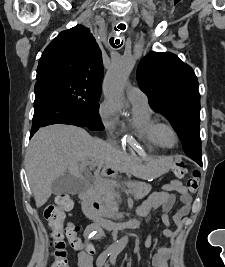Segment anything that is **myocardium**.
Listing matches in <instances>:
<instances>
[{"label":"myocardium","mask_w":225,"mask_h":267,"mask_svg":"<svg viewBox=\"0 0 225 267\" xmlns=\"http://www.w3.org/2000/svg\"><path fill=\"white\" fill-rule=\"evenodd\" d=\"M165 131H170L172 133V135L174 137V142L172 144H168L165 141V139H164V132ZM156 134H157L158 141L162 147L172 148V147L176 146L178 141H179L178 133H177L175 127L173 126V124H171L170 122H166V121L158 122L156 125Z\"/></svg>","instance_id":"obj_1"}]
</instances>
